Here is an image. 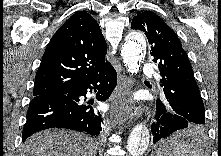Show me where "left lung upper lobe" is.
<instances>
[{"instance_id":"5c2ea615","label":"left lung upper lobe","mask_w":221,"mask_h":156,"mask_svg":"<svg viewBox=\"0 0 221 156\" xmlns=\"http://www.w3.org/2000/svg\"><path fill=\"white\" fill-rule=\"evenodd\" d=\"M131 28L143 31L151 44L150 54L158 63L161 86H164L167 104L173 113L193 124H204V104L188 55L177 34L158 15L149 11L138 12Z\"/></svg>"}]
</instances>
